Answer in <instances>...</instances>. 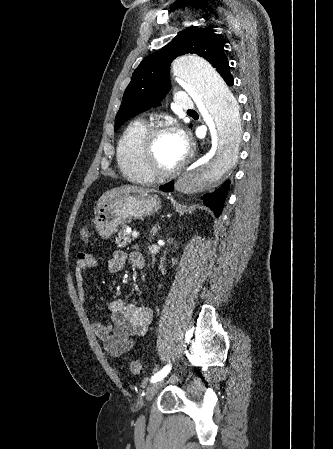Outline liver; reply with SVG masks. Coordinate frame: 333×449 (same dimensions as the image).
Listing matches in <instances>:
<instances>
[{
  "label": "liver",
  "mask_w": 333,
  "mask_h": 449,
  "mask_svg": "<svg viewBox=\"0 0 333 449\" xmlns=\"http://www.w3.org/2000/svg\"><path fill=\"white\" fill-rule=\"evenodd\" d=\"M151 192V190L138 188L136 186L131 185H123L120 187L112 188L106 191L98 200L97 209H99L105 202L111 200L113 198L121 197L123 195H129L130 193L136 194H147Z\"/></svg>",
  "instance_id": "obj_1"
}]
</instances>
